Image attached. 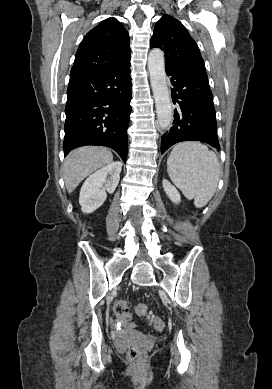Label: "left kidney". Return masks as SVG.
Wrapping results in <instances>:
<instances>
[{
  "instance_id": "5707ae66",
  "label": "left kidney",
  "mask_w": 272,
  "mask_h": 389,
  "mask_svg": "<svg viewBox=\"0 0 272 389\" xmlns=\"http://www.w3.org/2000/svg\"><path fill=\"white\" fill-rule=\"evenodd\" d=\"M162 184L164 191L170 198V200L175 204H178L181 201V197L178 190L166 179L163 180Z\"/></svg>"
}]
</instances>
